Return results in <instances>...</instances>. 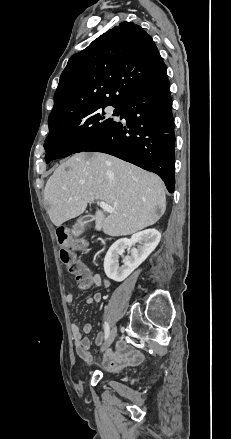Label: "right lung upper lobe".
I'll return each mask as SVG.
<instances>
[{
  "label": "right lung upper lobe",
  "mask_w": 231,
  "mask_h": 439,
  "mask_svg": "<svg viewBox=\"0 0 231 439\" xmlns=\"http://www.w3.org/2000/svg\"><path fill=\"white\" fill-rule=\"evenodd\" d=\"M168 81L149 34L122 22L74 54L60 76L48 121L87 108L121 109L138 93Z\"/></svg>",
  "instance_id": "cb5924a9"
}]
</instances>
